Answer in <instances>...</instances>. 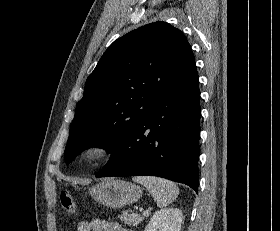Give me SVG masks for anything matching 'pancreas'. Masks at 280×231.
<instances>
[{
	"label": "pancreas",
	"instance_id": "pancreas-1",
	"mask_svg": "<svg viewBox=\"0 0 280 231\" xmlns=\"http://www.w3.org/2000/svg\"><path fill=\"white\" fill-rule=\"evenodd\" d=\"M120 219L126 223V225H138L144 219V215H139V213H128V211H122Z\"/></svg>",
	"mask_w": 280,
	"mask_h": 231
}]
</instances>
